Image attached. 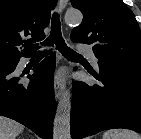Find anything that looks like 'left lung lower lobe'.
<instances>
[{"label": "left lung lower lobe", "mask_w": 141, "mask_h": 139, "mask_svg": "<svg viewBox=\"0 0 141 139\" xmlns=\"http://www.w3.org/2000/svg\"><path fill=\"white\" fill-rule=\"evenodd\" d=\"M97 85L73 83L71 137L79 139L113 128L141 133V67L98 62Z\"/></svg>", "instance_id": "0a47b994"}]
</instances>
